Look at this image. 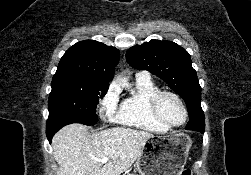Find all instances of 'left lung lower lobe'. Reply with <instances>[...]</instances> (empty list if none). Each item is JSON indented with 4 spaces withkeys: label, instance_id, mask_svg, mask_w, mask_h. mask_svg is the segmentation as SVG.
Returning a JSON list of instances; mask_svg holds the SVG:
<instances>
[{
    "label": "left lung lower lobe",
    "instance_id": "0a47b994",
    "mask_svg": "<svg viewBox=\"0 0 251 175\" xmlns=\"http://www.w3.org/2000/svg\"><path fill=\"white\" fill-rule=\"evenodd\" d=\"M188 113H189V122H195L199 119L204 118L203 111L197 110L194 108H188Z\"/></svg>",
    "mask_w": 251,
    "mask_h": 175
}]
</instances>
